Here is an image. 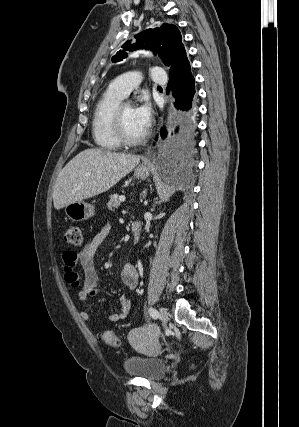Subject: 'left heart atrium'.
I'll return each instance as SVG.
<instances>
[{"label": "left heart atrium", "mask_w": 299, "mask_h": 427, "mask_svg": "<svg viewBox=\"0 0 299 427\" xmlns=\"http://www.w3.org/2000/svg\"><path fill=\"white\" fill-rule=\"evenodd\" d=\"M140 125L146 130L151 124V108L147 102L134 108Z\"/></svg>", "instance_id": "obj_1"}]
</instances>
